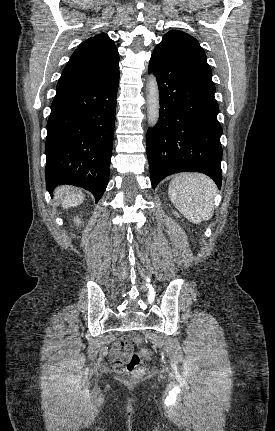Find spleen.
I'll return each mask as SVG.
<instances>
[{
	"instance_id": "obj_1",
	"label": "spleen",
	"mask_w": 275,
	"mask_h": 431,
	"mask_svg": "<svg viewBox=\"0 0 275 431\" xmlns=\"http://www.w3.org/2000/svg\"><path fill=\"white\" fill-rule=\"evenodd\" d=\"M217 187L201 173H181L169 184L168 194L173 205L194 224L209 220L214 213Z\"/></svg>"
}]
</instances>
